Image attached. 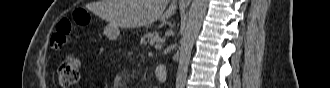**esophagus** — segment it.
<instances>
[{
  "instance_id": "34e87169",
  "label": "esophagus",
  "mask_w": 330,
  "mask_h": 88,
  "mask_svg": "<svg viewBox=\"0 0 330 88\" xmlns=\"http://www.w3.org/2000/svg\"><path fill=\"white\" fill-rule=\"evenodd\" d=\"M191 2V0H181V4L188 5Z\"/></svg>"
}]
</instances>
